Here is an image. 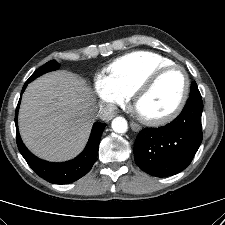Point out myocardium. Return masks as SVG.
<instances>
[{
	"instance_id": "f54148a6",
	"label": "myocardium",
	"mask_w": 225,
	"mask_h": 225,
	"mask_svg": "<svg viewBox=\"0 0 225 225\" xmlns=\"http://www.w3.org/2000/svg\"><path fill=\"white\" fill-rule=\"evenodd\" d=\"M172 70H180L183 73L184 76V85L182 94L177 102V104L174 106L172 110H170L168 113L158 116V117H147L143 116L138 112L137 106L141 98L147 94L153 86L156 84V82L166 73L172 71ZM190 92V79L187 71L184 67L178 64H170L165 67H162L154 72H152L149 76H147L141 84L136 88V90L132 94V100H133V109L135 113L137 114L139 120L149 126H160L163 124H166L173 119H175L183 110L189 96Z\"/></svg>"
}]
</instances>
